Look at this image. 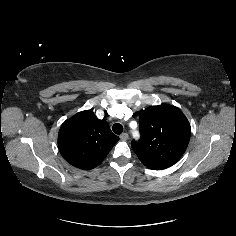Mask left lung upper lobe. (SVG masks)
<instances>
[{
    "label": "left lung upper lobe",
    "instance_id": "obj_1",
    "mask_svg": "<svg viewBox=\"0 0 236 236\" xmlns=\"http://www.w3.org/2000/svg\"><path fill=\"white\" fill-rule=\"evenodd\" d=\"M141 139L132 148L141 162L152 170L175 164L187 149L190 124L177 107L151 106L139 115Z\"/></svg>",
    "mask_w": 236,
    "mask_h": 236
}]
</instances>
